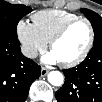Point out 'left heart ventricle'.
I'll list each match as a JSON object with an SVG mask.
<instances>
[{
	"label": "left heart ventricle",
	"instance_id": "left-heart-ventricle-1",
	"mask_svg": "<svg viewBox=\"0 0 102 102\" xmlns=\"http://www.w3.org/2000/svg\"><path fill=\"white\" fill-rule=\"evenodd\" d=\"M89 39V29L85 23L79 22L72 26L65 36L58 41L51 52L59 62L76 59L84 50Z\"/></svg>",
	"mask_w": 102,
	"mask_h": 102
}]
</instances>
